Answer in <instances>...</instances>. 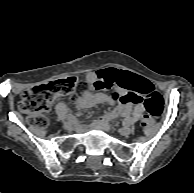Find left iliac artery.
<instances>
[{
	"mask_svg": "<svg viewBox=\"0 0 194 193\" xmlns=\"http://www.w3.org/2000/svg\"><path fill=\"white\" fill-rule=\"evenodd\" d=\"M132 122V118L131 117H126V119L124 120V124L125 123H131Z\"/></svg>",
	"mask_w": 194,
	"mask_h": 193,
	"instance_id": "obj_1",
	"label": "left iliac artery"
}]
</instances>
